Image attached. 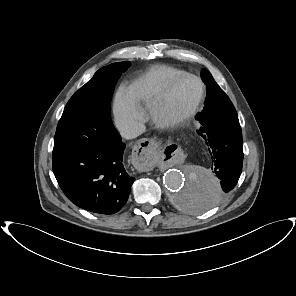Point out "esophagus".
<instances>
[{
    "label": "esophagus",
    "mask_w": 296,
    "mask_h": 296,
    "mask_svg": "<svg viewBox=\"0 0 296 296\" xmlns=\"http://www.w3.org/2000/svg\"><path fill=\"white\" fill-rule=\"evenodd\" d=\"M159 142L142 139L133 149L132 167L137 172H146L155 164Z\"/></svg>",
    "instance_id": "obj_1"
}]
</instances>
